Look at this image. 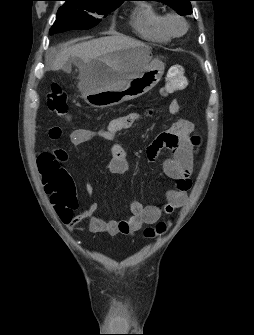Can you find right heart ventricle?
<instances>
[{
    "mask_svg": "<svg viewBox=\"0 0 254 335\" xmlns=\"http://www.w3.org/2000/svg\"><path fill=\"white\" fill-rule=\"evenodd\" d=\"M164 14L150 4L136 6L130 15V26L141 38L156 43H167L171 36L163 27Z\"/></svg>",
    "mask_w": 254,
    "mask_h": 335,
    "instance_id": "1",
    "label": "right heart ventricle"
}]
</instances>
